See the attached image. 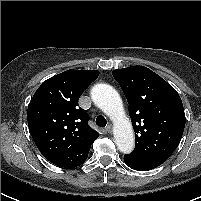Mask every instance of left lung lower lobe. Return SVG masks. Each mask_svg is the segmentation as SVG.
Listing matches in <instances>:
<instances>
[{
	"instance_id": "obj_1",
	"label": "left lung lower lobe",
	"mask_w": 201,
	"mask_h": 201,
	"mask_svg": "<svg viewBox=\"0 0 201 201\" xmlns=\"http://www.w3.org/2000/svg\"><path fill=\"white\" fill-rule=\"evenodd\" d=\"M124 161L127 166L138 171H148V170L154 169L164 162L163 160L140 161V160L133 159L129 157L128 155H124Z\"/></svg>"
}]
</instances>
